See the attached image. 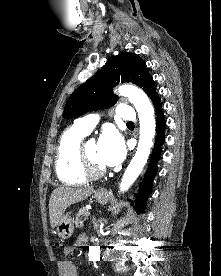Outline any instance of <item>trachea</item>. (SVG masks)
<instances>
[{
    "label": "trachea",
    "instance_id": "3493384b",
    "mask_svg": "<svg viewBox=\"0 0 221 276\" xmlns=\"http://www.w3.org/2000/svg\"><path fill=\"white\" fill-rule=\"evenodd\" d=\"M127 124H129V125H133V122H127Z\"/></svg>",
    "mask_w": 221,
    "mask_h": 276
}]
</instances>
